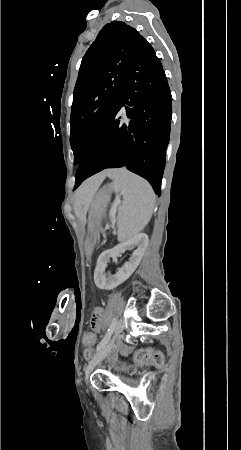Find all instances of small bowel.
<instances>
[{
    "label": "small bowel",
    "instance_id": "obj_1",
    "mask_svg": "<svg viewBox=\"0 0 241 450\" xmlns=\"http://www.w3.org/2000/svg\"><path fill=\"white\" fill-rule=\"evenodd\" d=\"M88 323L89 325H92L93 330H102L103 328L102 311L100 309H95L93 311V316H89Z\"/></svg>",
    "mask_w": 241,
    "mask_h": 450
}]
</instances>
